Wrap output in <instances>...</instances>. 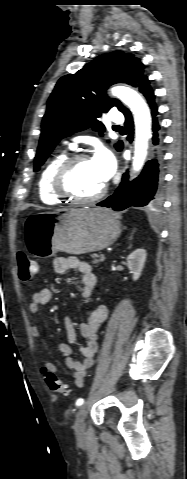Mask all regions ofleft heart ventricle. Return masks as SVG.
<instances>
[{"label":"left heart ventricle","mask_w":187,"mask_h":479,"mask_svg":"<svg viewBox=\"0 0 187 479\" xmlns=\"http://www.w3.org/2000/svg\"><path fill=\"white\" fill-rule=\"evenodd\" d=\"M70 189L81 197L96 194L105 184L91 159L77 163L69 177Z\"/></svg>","instance_id":"obj_1"}]
</instances>
